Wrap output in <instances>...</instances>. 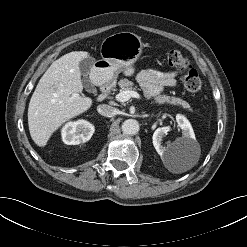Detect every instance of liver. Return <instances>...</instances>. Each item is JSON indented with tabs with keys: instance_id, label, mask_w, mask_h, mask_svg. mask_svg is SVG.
Here are the masks:
<instances>
[{
	"instance_id": "obj_1",
	"label": "liver",
	"mask_w": 247,
	"mask_h": 247,
	"mask_svg": "<svg viewBox=\"0 0 247 247\" xmlns=\"http://www.w3.org/2000/svg\"><path fill=\"white\" fill-rule=\"evenodd\" d=\"M86 51H73L55 60L39 80L28 107V126L32 140L46 146L51 135L66 121L92 105L82 96L83 84L79 63Z\"/></svg>"
}]
</instances>
